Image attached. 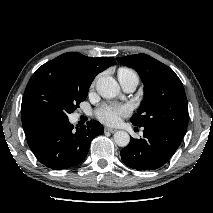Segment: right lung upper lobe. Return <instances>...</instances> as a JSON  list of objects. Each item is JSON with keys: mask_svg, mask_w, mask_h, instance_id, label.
Masks as SVG:
<instances>
[{"mask_svg": "<svg viewBox=\"0 0 213 213\" xmlns=\"http://www.w3.org/2000/svg\"><path fill=\"white\" fill-rule=\"evenodd\" d=\"M113 64H116V61L112 57L92 58L81 53L68 52L44 65L72 74L91 84L98 73Z\"/></svg>", "mask_w": 213, "mask_h": 213, "instance_id": "1", "label": "right lung upper lobe"}]
</instances>
